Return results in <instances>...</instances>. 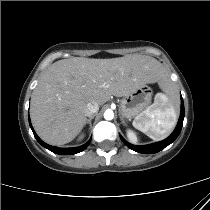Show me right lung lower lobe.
Instances as JSON below:
<instances>
[{
    "mask_svg": "<svg viewBox=\"0 0 210 210\" xmlns=\"http://www.w3.org/2000/svg\"><path fill=\"white\" fill-rule=\"evenodd\" d=\"M29 124H30V127H31V129H32V131H33V134H34L36 140H37L43 147L49 149L50 151H52L53 153H56V154H60V155H71V154H76V153H79V152L83 151L84 149H86L87 146H88L89 143H90V140H89L86 144H84V145H82V146H80V147H75V148H58V147L50 146V145L44 143V142L37 136V134H36L35 131L33 130V127H32V125H31V123H30V118H29Z\"/></svg>",
    "mask_w": 210,
    "mask_h": 210,
    "instance_id": "right-lung-lower-lobe-1",
    "label": "right lung lower lobe"
}]
</instances>
